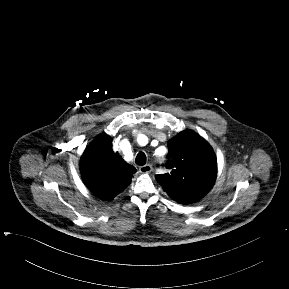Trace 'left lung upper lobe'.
<instances>
[{
	"mask_svg": "<svg viewBox=\"0 0 289 289\" xmlns=\"http://www.w3.org/2000/svg\"><path fill=\"white\" fill-rule=\"evenodd\" d=\"M166 168L170 173L155 178L169 196L180 204L201 199L212 188L217 161L211 146L193 131L185 130L168 141Z\"/></svg>",
	"mask_w": 289,
	"mask_h": 289,
	"instance_id": "1",
	"label": "left lung upper lobe"
}]
</instances>
